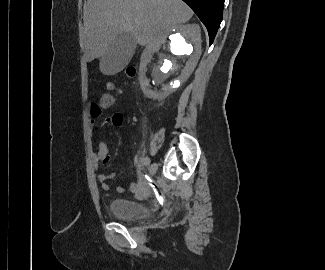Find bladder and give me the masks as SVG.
<instances>
[{"label":"bladder","mask_w":325,"mask_h":270,"mask_svg":"<svg viewBox=\"0 0 325 270\" xmlns=\"http://www.w3.org/2000/svg\"><path fill=\"white\" fill-rule=\"evenodd\" d=\"M109 210L112 215L122 220H137L147 216V208L144 204L126 198L112 199Z\"/></svg>","instance_id":"31cf9c89"}]
</instances>
